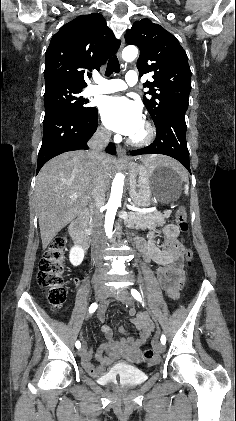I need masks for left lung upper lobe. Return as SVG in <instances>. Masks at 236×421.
I'll return each instance as SVG.
<instances>
[{
  "label": "left lung upper lobe",
  "instance_id": "obj_1",
  "mask_svg": "<svg viewBox=\"0 0 236 421\" xmlns=\"http://www.w3.org/2000/svg\"><path fill=\"white\" fill-rule=\"evenodd\" d=\"M125 40L140 49L137 68L140 77L153 73V82L146 81L150 88L143 96V103L154 123H157L173 108L187 110L191 91V70L187 54L174 35L151 20L134 22L126 31Z\"/></svg>",
  "mask_w": 236,
  "mask_h": 421
}]
</instances>
